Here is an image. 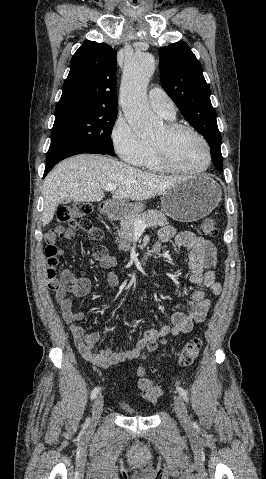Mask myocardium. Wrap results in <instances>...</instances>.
I'll use <instances>...</instances> for the list:
<instances>
[{
  "label": "myocardium",
  "instance_id": "obj_1",
  "mask_svg": "<svg viewBox=\"0 0 266 479\" xmlns=\"http://www.w3.org/2000/svg\"><path fill=\"white\" fill-rule=\"evenodd\" d=\"M166 129L170 133H175V132H180V131H188L195 135L201 144L203 145L204 151H205V163L202 167L198 169H185L176 166L173 164L165 155L163 149L156 143L151 141V146L154 152V156L158 164L161 166V168L165 171L172 172V173H181V174H187V175H197L206 172L212 161V155H211V150L210 146L206 140V138L194 127L187 125V124H182V123H168L165 125Z\"/></svg>",
  "mask_w": 266,
  "mask_h": 479
}]
</instances>
